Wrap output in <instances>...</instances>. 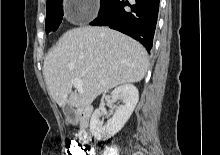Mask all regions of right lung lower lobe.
I'll return each mask as SVG.
<instances>
[{
	"mask_svg": "<svg viewBox=\"0 0 220 155\" xmlns=\"http://www.w3.org/2000/svg\"><path fill=\"white\" fill-rule=\"evenodd\" d=\"M158 11L159 0H135L133 5L126 0H113L99 12L91 24L107 25L127 34L142 43L149 52L153 44Z\"/></svg>",
	"mask_w": 220,
	"mask_h": 155,
	"instance_id": "1",
	"label": "right lung lower lobe"
}]
</instances>
